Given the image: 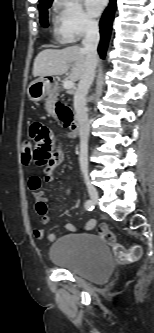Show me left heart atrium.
Masks as SVG:
<instances>
[{"mask_svg":"<svg viewBox=\"0 0 154 333\" xmlns=\"http://www.w3.org/2000/svg\"><path fill=\"white\" fill-rule=\"evenodd\" d=\"M107 0H85L88 12L92 16H97L105 6Z\"/></svg>","mask_w":154,"mask_h":333,"instance_id":"39dd6f15","label":"left heart atrium"}]
</instances>
